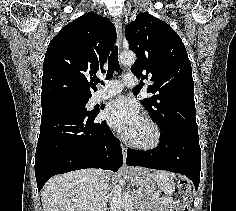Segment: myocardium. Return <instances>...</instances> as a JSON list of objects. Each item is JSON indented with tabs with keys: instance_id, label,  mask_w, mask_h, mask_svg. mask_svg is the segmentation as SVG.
<instances>
[{
	"instance_id": "obj_1",
	"label": "myocardium",
	"mask_w": 236,
	"mask_h": 211,
	"mask_svg": "<svg viewBox=\"0 0 236 211\" xmlns=\"http://www.w3.org/2000/svg\"><path fill=\"white\" fill-rule=\"evenodd\" d=\"M143 121L149 129L150 138L147 141H139L128 135L126 141L134 148L140 150H151L158 147L161 142V129L159 125L148 116L143 117Z\"/></svg>"
}]
</instances>
